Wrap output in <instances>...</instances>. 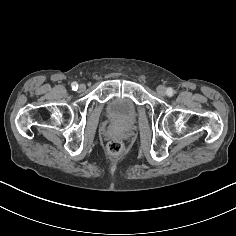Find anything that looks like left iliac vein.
<instances>
[{"label":"left iliac vein","instance_id":"obj_1","mask_svg":"<svg viewBox=\"0 0 236 236\" xmlns=\"http://www.w3.org/2000/svg\"><path fill=\"white\" fill-rule=\"evenodd\" d=\"M156 90L157 93L161 96H164L166 94V88L163 85H159Z\"/></svg>","mask_w":236,"mask_h":236}]
</instances>
